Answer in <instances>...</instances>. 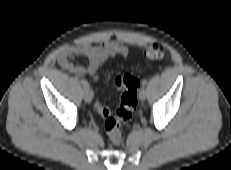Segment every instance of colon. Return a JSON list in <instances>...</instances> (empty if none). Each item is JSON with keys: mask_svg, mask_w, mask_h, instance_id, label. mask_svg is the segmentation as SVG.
I'll return each instance as SVG.
<instances>
[{"mask_svg": "<svg viewBox=\"0 0 231 170\" xmlns=\"http://www.w3.org/2000/svg\"><path fill=\"white\" fill-rule=\"evenodd\" d=\"M145 56L150 60H159L164 56V48L160 44H151L145 49ZM115 87L122 90L121 103L114 113L99 102L95 103L97 111L105 118L104 127L112 143L120 145L125 139L122 123L131 120L138 104L139 81L131 74L116 76Z\"/></svg>", "mask_w": 231, "mask_h": 170, "instance_id": "obj_1", "label": "colon"}]
</instances>
